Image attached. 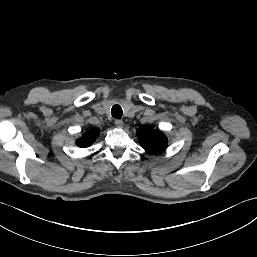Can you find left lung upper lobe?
<instances>
[{
    "instance_id": "left-lung-upper-lobe-1",
    "label": "left lung upper lobe",
    "mask_w": 257,
    "mask_h": 257,
    "mask_svg": "<svg viewBox=\"0 0 257 257\" xmlns=\"http://www.w3.org/2000/svg\"><path fill=\"white\" fill-rule=\"evenodd\" d=\"M137 137L141 146L149 153L157 154L163 152L167 147L166 136L159 131L145 126L137 131Z\"/></svg>"
}]
</instances>
